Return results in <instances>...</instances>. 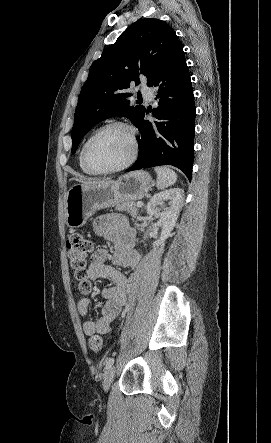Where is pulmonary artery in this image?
Masks as SVG:
<instances>
[{
  "instance_id": "1",
  "label": "pulmonary artery",
  "mask_w": 271,
  "mask_h": 443,
  "mask_svg": "<svg viewBox=\"0 0 271 443\" xmlns=\"http://www.w3.org/2000/svg\"><path fill=\"white\" fill-rule=\"evenodd\" d=\"M154 96H155V93H154L153 89H146L143 91V97L148 102L153 101Z\"/></svg>"
}]
</instances>
